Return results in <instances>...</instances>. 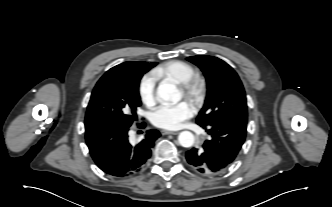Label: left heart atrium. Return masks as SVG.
I'll return each instance as SVG.
<instances>
[{
    "instance_id": "39dd6f15",
    "label": "left heart atrium",
    "mask_w": 332,
    "mask_h": 207,
    "mask_svg": "<svg viewBox=\"0 0 332 207\" xmlns=\"http://www.w3.org/2000/svg\"><path fill=\"white\" fill-rule=\"evenodd\" d=\"M194 108L187 102L177 104H165L157 107L151 114V122L156 127L175 130L182 126L183 122L191 118Z\"/></svg>"
}]
</instances>
